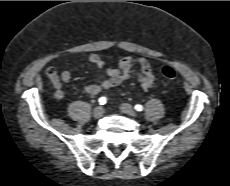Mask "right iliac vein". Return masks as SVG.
Listing matches in <instances>:
<instances>
[{
    "label": "right iliac vein",
    "instance_id": "63e3f726",
    "mask_svg": "<svg viewBox=\"0 0 230 186\" xmlns=\"http://www.w3.org/2000/svg\"><path fill=\"white\" fill-rule=\"evenodd\" d=\"M104 112H105L104 108L102 106H98L94 109L93 116L95 118H100L104 115Z\"/></svg>",
    "mask_w": 230,
    "mask_h": 186
}]
</instances>
